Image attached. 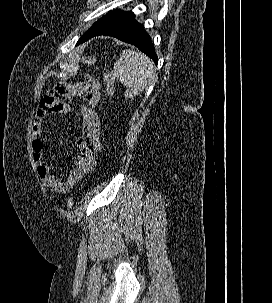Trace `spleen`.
I'll list each match as a JSON object with an SVG mask.
<instances>
[{
	"label": "spleen",
	"mask_w": 272,
	"mask_h": 303,
	"mask_svg": "<svg viewBox=\"0 0 272 303\" xmlns=\"http://www.w3.org/2000/svg\"><path fill=\"white\" fill-rule=\"evenodd\" d=\"M154 63L144 54L125 49L114 63L112 75L125 87V97L134 98L154 81Z\"/></svg>",
	"instance_id": "obj_1"
}]
</instances>
